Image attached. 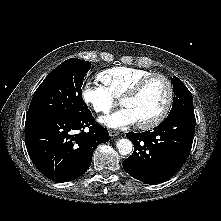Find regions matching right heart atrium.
<instances>
[{"mask_svg": "<svg viewBox=\"0 0 221 221\" xmlns=\"http://www.w3.org/2000/svg\"><path fill=\"white\" fill-rule=\"evenodd\" d=\"M81 97L84 103L97 114H107L116 106L114 98L108 91L96 83H85L81 90Z\"/></svg>", "mask_w": 221, "mask_h": 221, "instance_id": "right-heart-atrium-1", "label": "right heart atrium"}]
</instances>
